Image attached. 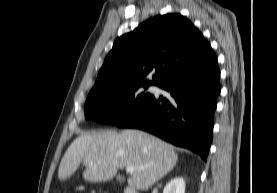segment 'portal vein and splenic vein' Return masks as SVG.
<instances>
[{
    "mask_svg": "<svg viewBox=\"0 0 277 193\" xmlns=\"http://www.w3.org/2000/svg\"><path fill=\"white\" fill-rule=\"evenodd\" d=\"M126 171H127L128 173H133V172L135 171V168H134L133 166H127V167H126Z\"/></svg>",
    "mask_w": 277,
    "mask_h": 193,
    "instance_id": "portal-vein-and-splenic-vein-1",
    "label": "portal vein and splenic vein"
}]
</instances>
